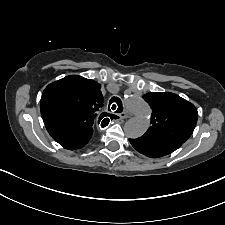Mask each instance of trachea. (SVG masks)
<instances>
[{
  "label": "trachea",
  "mask_w": 225,
  "mask_h": 225,
  "mask_svg": "<svg viewBox=\"0 0 225 225\" xmlns=\"http://www.w3.org/2000/svg\"><path fill=\"white\" fill-rule=\"evenodd\" d=\"M109 103V106L112 104L111 109L116 113H121L123 111L122 102L118 97H112ZM108 109L110 110V107ZM114 117L115 115H112V118Z\"/></svg>",
  "instance_id": "obj_1"
}]
</instances>
